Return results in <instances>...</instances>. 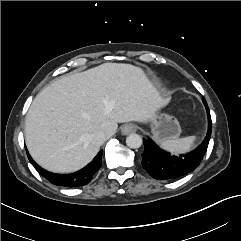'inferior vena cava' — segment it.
<instances>
[{
	"label": "inferior vena cava",
	"instance_id": "1",
	"mask_svg": "<svg viewBox=\"0 0 241 241\" xmlns=\"http://www.w3.org/2000/svg\"><path fill=\"white\" fill-rule=\"evenodd\" d=\"M106 140V135L103 131H96L90 135V141L94 145H102Z\"/></svg>",
	"mask_w": 241,
	"mask_h": 241
}]
</instances>
